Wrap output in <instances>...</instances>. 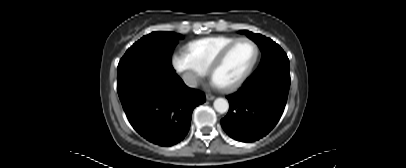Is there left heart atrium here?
Masks as SVG:
<instances>
[{"label":"left heart atrium","instance_id":"39dd6f15","mask_svg":"<svg viewBox=\"0 0 406 168\" xmlns=\"http://www.w3.org/2000/svg\"><path fill=\"white\" fill-rule=\"evenodd\" d=\"M213 84H214L215 86H217V87H220V85H219L215 80H213Z\"/></svg>","mask_w":406,"mask_h":168}]
</instances>
